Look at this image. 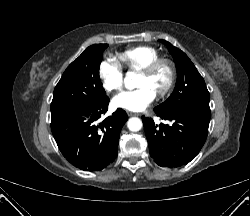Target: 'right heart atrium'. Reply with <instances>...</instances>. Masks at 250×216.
Here are the masks:
<instances>
[{
  "instance_id": "right-heart-atrium-1",
  "label": "right heart atrium",
  "mask_w": 250,
  "mask_h": 216,
  "mask_svg": "<svg viewBox=\"0 0 250 216\" xmlns=\"http://www.w3.org/2000/svg\"><path fill=\"white\" fill-rule=\"evenodd\" d=\"M101 76L104 86L111 91L123 87L125 73L121 65L114 59H108L101 65Z\"/></svg>"
}]
</instances>
